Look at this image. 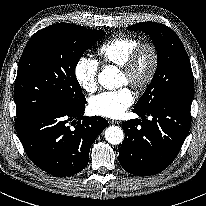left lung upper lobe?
I'll list each match as a JSON object with an SVG mask.
<instances>
[{
	"instance_id": "obj_1",
	"label": "left lung upper lobe",
	"mask_w": 206,
	"mask_h": 206,
	"mask_svg": "<svg viewBox=\"0 0 206 206\" xmlns=\"http://www.w3.org/2000/svg\"><path fill=\"white\" fill-rule=\"evenodd\" d=\"M127 29L147 33L154 42L158 59L155 75L134 109L145 110L168 100H192L194 77L191 64L175 32L156 22H142Z\"/></svg>"
}]
</instances>
